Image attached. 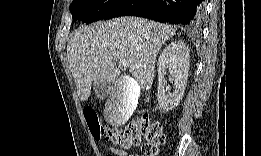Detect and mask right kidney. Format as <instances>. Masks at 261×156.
<instances>
[{
	"label": "right kidney",
	"mask_w": 261,
	"mask_h": 156,
	"mask_svg": "<svg viewBox=\"0 0 261 156\" xmlns=\"http://www.w3.org/2000/svg\"><path fill=\"white\" fill-rule=\"evenodd\" d=\"M158 87L157 99L159 107L165 111L173 110L184 95L189 71V47L183 41L168 44L161 52L157 63ZM170 71V78L174 81L173 93L166 94L163 85L166 70ZM121 84H123L120 81Z\"/></svg>",
	"instance_id": "obj_1"
}]
</instances>
